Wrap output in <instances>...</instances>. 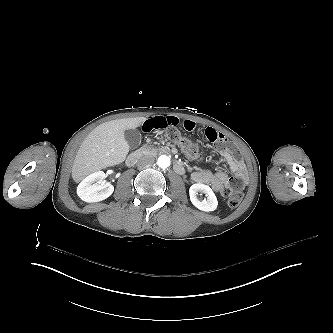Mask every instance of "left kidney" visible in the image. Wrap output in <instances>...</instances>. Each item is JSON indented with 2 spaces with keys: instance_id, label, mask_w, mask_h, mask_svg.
<instances>
[{
  "instance_id": "left-kidney-1",
  "label": "left kidney",
  "mask_w": 333,
  "mask_h": 333,
  "mask_svg": "<svg viewBox=\"0 0 333 333\" xmlns=\"http://www.w3.org/2000/svg\"><path fill=\"white\" fill-rule=\"evenodd\" d=\"M201 191L202 193H205L207 196V199L204 200H198L197 194ZM189 197L191 203L199 210L204 212H211L215 211L218 207V200L213 192V190L206 184L203 183H195L192 184L189 188Z\"/></svg>"
}]
</instances>
